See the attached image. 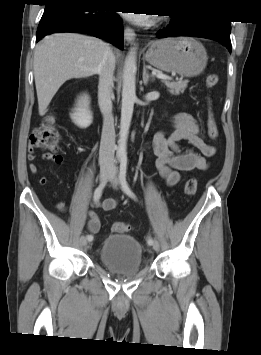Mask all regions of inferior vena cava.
Listing matches in <instances>:
<instances>
[{
	"mask_svg": "<svg viewBox=\"0 0 261 355\" xmlns=\"http://www.w3.org/2000/svg\"><path fill=\"white\" fill-rule=\"evenodd\" d=\"M115 55L108 48L99 65V85H98V103L103 115V128L99 151V164L101 168H114L115 152V128L112 114V87L115 70Z\"/></svg>",
	"mask_w": 261,
	"mask_h": 355,
	"instance_id": "1",
	"label": "inferior vena cava"
}]
</instances>
